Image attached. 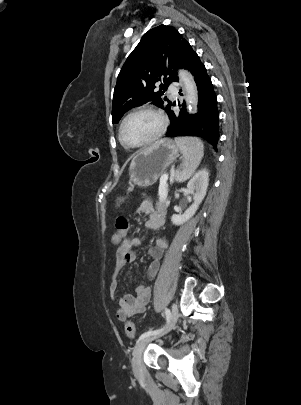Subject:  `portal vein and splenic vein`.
I'll list each match as a JSON object with an SVG mask.
<instances>
[{"label": "portal vein and splenic vein", "mask_w": 301, "mask_h": 405, "mask_svg": "<svg viewBox=\"0 0 301 405\" xmlns=\"http://www.w3.org/2000/svg\"><path fill=\"white\" fill-rule=\"evenodd\" d=\"M167 180H168V174H163L162 177H161L162 183L166 184V181H167ZM159 195H160L162 198H166V197H167L166 188L159 189Z\"/></svg>", "instance_id": "1"}]
</instances>
